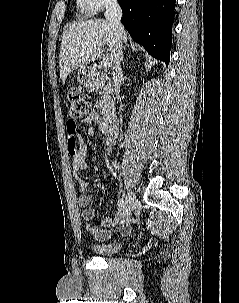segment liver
<instances>
[{"mask_svg":"<svg viewBox=\"0 0 239 303\" xmlns=\"http://www.w3.org/2000/svg\"><path fill=\"white\" fill-rule=\"evenodd\" d=\"M105 44H108L109 58L114 64L117 39L113 27L107 20L80 21L67 27L62 35L59 54L62 82H65L73 70L98 59L104 51Z\"/></svg>","mask_w":239,"mask_h":303,"instance_id":"obj_1","label":"liver"}]
</instances>
